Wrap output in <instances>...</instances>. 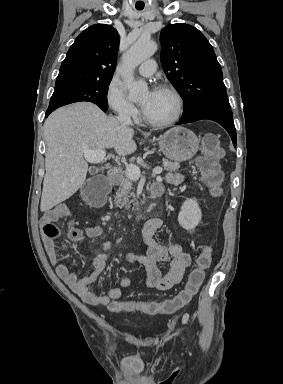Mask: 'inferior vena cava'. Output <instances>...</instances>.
Here are the masks:
<instances>
[{"label":"inferior vena cava","mask_w":283,"mask_h":384,"mask_svg":"<svg viewBox=\"0 0 283 384\" xmlns=\"http://www.w3.org/2000/svg\"><path fill=\"white\" fill-rule=\"evenodd\" d=\"M117 120H119L122 126H132V120L130 118V108H127V106H123V108H120Z\"/></svg>","instance_id":"inferior-vena-cava-1"}]
</instances>
